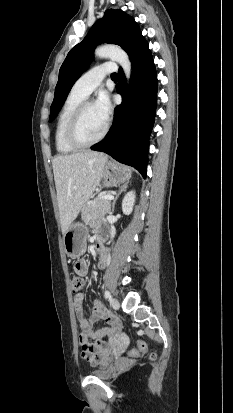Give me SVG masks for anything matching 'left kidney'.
I'll use <instances>...</instances> for the list:
<instances>
[{
  "instance_id": "5707ae66",
  "label": "left kidney",
  "mask_w": 233,
  "mask_h": 413,
  "mask_svg": "<svg viewBox=\"0 0 233 413\" xmlns=\"http://www.w3.org/2000/svg\"><path fill=\"white\" fill-rule=\"evenodd\" d=\"M135 203V192H128L122 200V211L125 215H130L133 211V206Z\"/></svg>"
}]
</instances>
